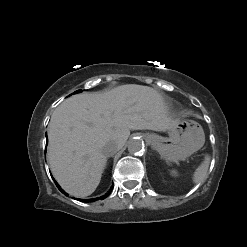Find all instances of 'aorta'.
Masks as SVG:
<instances>
[{"mask_svg":"<svg viewBox=\"0 0 247 247\" xmlns=\"http://www.w3.org/2000/svg\"><path fill=\"white\" fill-rule=\"evenodd\" d=\"M144 149V143L140 138H132L128 143V151L131 154H139Z\"/></svg>","mask_w":247,"mask_h":247,"instance_id":"obj_1","label":"aorta"}]
</instances>
